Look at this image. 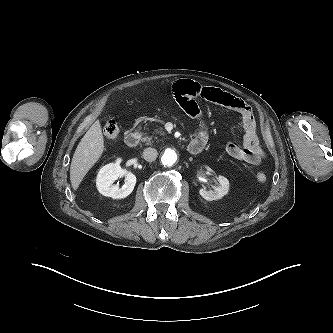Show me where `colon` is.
<instances>
[{"label":"colon","instance_id":"obj_1","mask_svg":"<svg viewBox=\"0 0 333 333\" xmlns=\"http://www.w3.org/2000/svg\"><path fill=\"white\" fill-rule=\"evenodd\" d=\"M103 131L107 138L110 139L116 138L119 135V126L117 121L113 118L108 119L105 122ZM256 180L259 183H264L267 180V176L264 173L259 172L256 174Z\"/></svg>","mask_w":333,"mask_h":333}]
</instances>
